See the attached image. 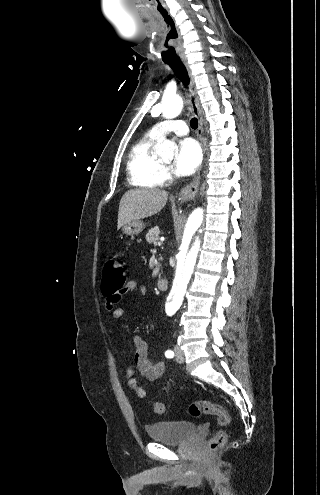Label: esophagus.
<instances>
[{
    "label": "esophagus",
    "mask_w": 320,
    "mask_h": 495,
    "mask_svg": "<svg viewBox=\"0 0 320 495\" xmlns=\"http://www.w3.org/2000/svg\"><path fill=\"white\" fill-rule=\"evenodd\" d=\"M188 76L190 78V85H189V102H190V107L193 112V114L197 117L198 119V128H197V137L200 141L203 153L205 154V146H204V141H203V119L201 115V110H200V105H199V100L197 96V91H196V86L194 82V78L192 75V71L190 68V65L186 59L182 60ZM201 176L198 174L195 179L185 187H183L179 193V197L182 200H190L195 197V195L198 192L199 184H200Z\"/></svg>",
    "instance_id": "1"
}]
</instances>
